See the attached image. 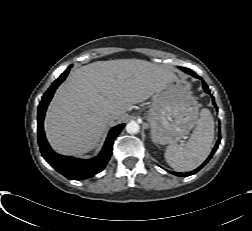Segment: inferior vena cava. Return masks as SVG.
I'll return each instance as SVG.
<instances>
[{
  "mask_svg": "<svg viewBox=\"0 0 252 231\" xmlns=\"http://www.w3.org/2000/svg\"><path fill=\"white\" fill-rule=\"evenodd\" d=\"M112 117H113V114H110V115H109V118H112Z\"/></svg>",
  "mask_w": 252,
  "mask_h": 231,
  "instance_id": "obj_1",
  "label": "inferior vena cava"
}]
</instances>
